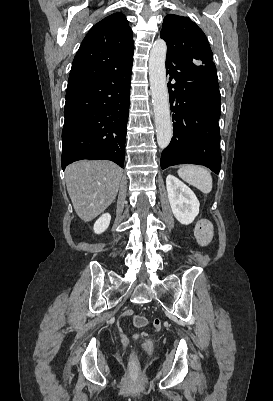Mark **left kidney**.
Instances as JSON below:
<instances>
[{
	"mask_svg": "<svg viewBox=\"0 0 273 401\" xmlns=\"http://www.w3.org/2000/svg\"><path fill=\"white\" fill-rule=\"evenodd\" d=\"M168 198L172 213L181 225H190L199 213L200 203L193 190L179 178L168 174L166 178Z\"/></svg>",
	"mask_w": 273,
	"mask_h": 401,
	"instance_id": "1",
	"label": "left kidney"
}]
</instances>
